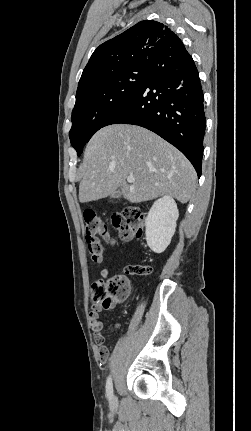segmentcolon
<instances>
[{"mask_svg": "<svg viewBox=\"0 0 251 431\" xmlns=\"http://www.w3.org/2000/svg\"><path fill=\"white\" fill-rule=\"evenodd\" d=\"M146 214L139 207H127L112 217V225L122 241L143 236V226ZM84 235L89 254L95 262H102L105 257V242H110L111 236L104 220L93 211L84 213ZM127 274L142 275L145 267L130 265ZM130 283L124 276L107 280L98 279L91 286V298L96 306L108 309L122 303L128 296Z\"/></svg>", "mask_w": 251, "mask_h": 431, "instance_id": "colon-1", "label": "colon"}]
</instances>
